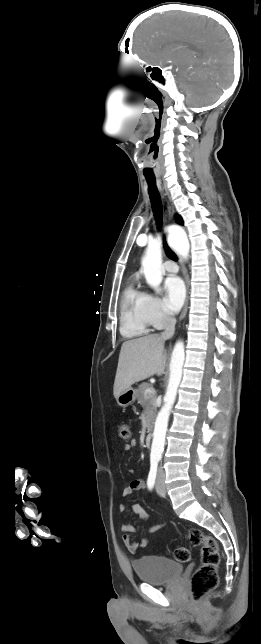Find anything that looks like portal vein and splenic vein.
<instances>
[{
    "label": "portal vein and splenic vein",
    "instance_id": "obj_1",
    "mask_svg": "<svg viewBox=\"0 0 261 644\" xmlns=\"http://www.w3.org/2000/svg\"><path fill=\"white\" fill-rule=\"evenodd\" d=\"M153 393H155V390H154L153 387H151V388L146 389L144 394H145V396H147V395H150V394H153Z\"/></svg>",
    "mask_w": 261,
    "mask_h": 644
}]
</instances>
